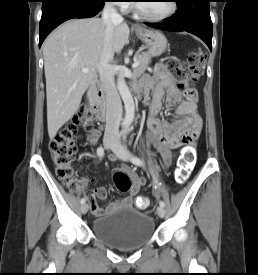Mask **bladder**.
<instances>
[{
  "label": "bladder",
  "instance_id": "1",
  "mask_svg": "<svg viewBox=\"0 0 258 275\" xmlns=\"http://www.w3.org/2000/svg\"><path fill=\"white\" fill-rule=\"evenodd\" d=\"M92 231L97 238L114 248L136 249L152 239L155 223L147 213L126 208L96 218Z\"/></svg>",
  "mask_w": 258,
  "mask_h": 275
}]
</instances>
